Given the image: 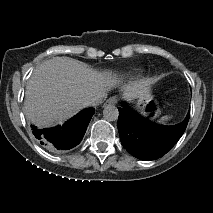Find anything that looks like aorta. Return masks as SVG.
<instances>
[{
    "label": "aorta",
    "instance_id": "aorta-1",
    "mask_svg": "<svg viewBox=\"0 0 213 213\" xmlns=\"http://www.w3.org/2000/svg\"><path fill=\"white\" fill-rule=\"evenodd\" d=\"M103 117L107 121H116L119 117L118 108L115 105L108 104L103 110Z\"/></svg>",
    "mask_w": 213,
    "mask_h": 213
}]
</instances>
